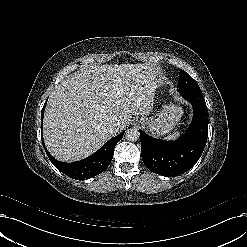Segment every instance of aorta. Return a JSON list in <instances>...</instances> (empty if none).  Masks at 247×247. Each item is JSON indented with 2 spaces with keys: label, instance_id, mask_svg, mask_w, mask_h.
I'll use <instances>...</instances> for the list:
<instances>
[{
  "label": "aorta",
  "instance_id": "aorta-1",
  "mask_svg": "<svg viewBox=\"0 0 247 247\" xmlns=\"http://www.w3.org/2000/svg\"><path fill=\"white\" fill-rule=\"evenodd\" d=\"M140 133L136 128H130L125 133V138L130 142H135L139 139Z\"/></svg>",
  "mask_w": 247,
  "mask_h": 247
}]
</instances>
